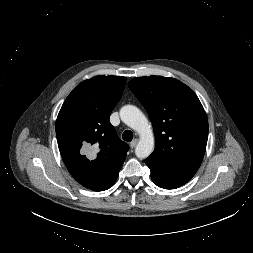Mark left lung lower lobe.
Segmentation results:
<instances>
[{"label": "left lung lower lobe", "instance_id": "obj_1", "mask_svg": "<svg viewBox=\"0 0 253 253\" xmlns=\"http://www.w3.org/2000/svg\"><path fill=\"white\" fill-rule=\"evenodd\" d=\"M145 163L150 168L152 181L164 189H176L192 178L188 175L168 170L148 158Z\"/></svg>", "mask_w": 253, "mask_h": 253}]
</instances>
